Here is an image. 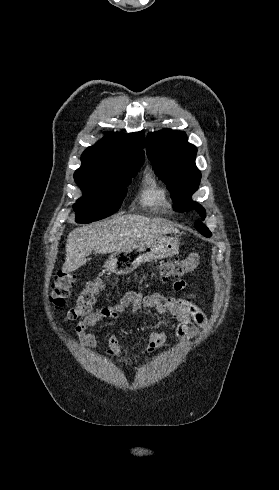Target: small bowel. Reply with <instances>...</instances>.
Instances as JSON below:
<instances>
[{"label":"small bowel","mask_w":279,"mask_h":490,"mask_svg":"<svg viewBox=\"0 0 279 490\" xmlns=\"http://www.w3.org/2000/svg\"><path fill=\"white\" fill-rule=\"evenodd\" d=\"M187 285L185 280H178L174 283V288L180 291ZM196 301L197 296L191 293L186 297L175 298L160 293L144 294L131 291L125 294L118 303L89 313L74 327V335L85 349L103 352L106 356L126 366H132L139 356L124 354L123 347L115 335L109 336L108 348L101 349L98 346L92 331L96 325L104 319L114 320L126 311L137 312L141 308H152L160 316L168 315L177 324L172 325L171 322L164 321L155 327L147 345V351L153 352L164 345L171 330H174L176 337L181 342H186L200 334L201 329L206 326L207 319Z\"/></svg>","instance_id":"c3829d8e"}]
</instances>
